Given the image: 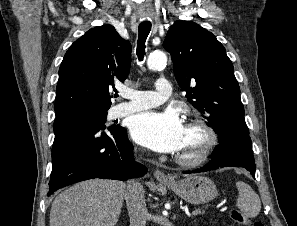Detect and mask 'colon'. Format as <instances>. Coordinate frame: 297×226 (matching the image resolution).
Returning <instances> with one entry per match:
<instances>
[{
	"label": "colon",
	"mask_w": 297,
	"mask_h": 226,
	"mask_svg": "<svg viewBox=\"0 0 297 226\" xmlns=\"http://www.w3.org/2000/svg\"><path fill=\"white\" fill-rule=\"evenodd\" d=\"M230 216L240 226H263L259 222H253L250 217L236 209L231 210Z\"/></svg>",
	"instance_id": "1"
}]
</instances>
